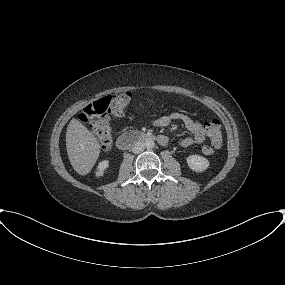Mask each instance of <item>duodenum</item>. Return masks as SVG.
<instances>
[{
  "label": "duodenum",
  "instance_id": "obj_1",
  "mask_svg": "<svg viewBox=\"0 0 285 285\" xmlns=\"http://www.w3.org/2000/svg\"><path fill=\"white\" fill-rule=\"evenodd\" d=\"M151 140H157L161 145H164L166 143V139L162 136L157 137L153 134L143 132H129L118 137L117 147L121 150H125L136 144Z\"/></svg>",
  "mask_w": 285,
  "mask_h": 285
}]
</instances>
